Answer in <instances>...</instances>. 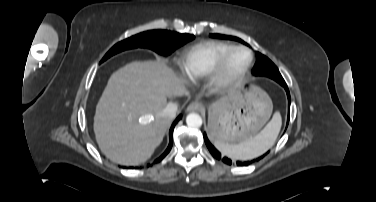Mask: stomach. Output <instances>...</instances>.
<instances>
[{"mask_svg": "<svg viewBox=\"0 0 376 202\" xmlns=\"http://www.w3.org/2000/svg\"><path fill=\"white\" fill-rule=\"evenodd\" d=\"M272 102L260 88H234L209 106V136L213 141L239 144L253 138L269 120Z\"/></svg>", "mask_w": 376, "mask_h": 202, "instance_id": "stomach-1", "label": "stomach"}]
</instances>
